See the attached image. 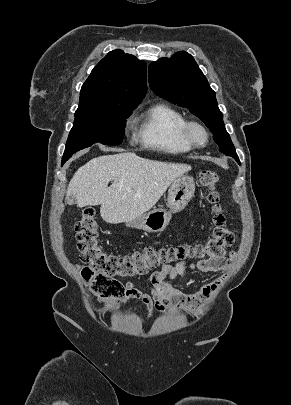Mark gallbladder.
Segmentation results:
<instances>
[{"label":"gallbladder","instance_id":"gallbladder-1","mask_svg":"<svg viewBox=\"0 0 291 405\" xmlns=\"http://www.w3.org/2000/svg\"><path fill=\"white\" fill-rule=\"evenodd\" d=\"M69 203H73V199H72V198L69 199Z\"/></svg>","mask_w":291,"mask_h":405}]
</instances>
